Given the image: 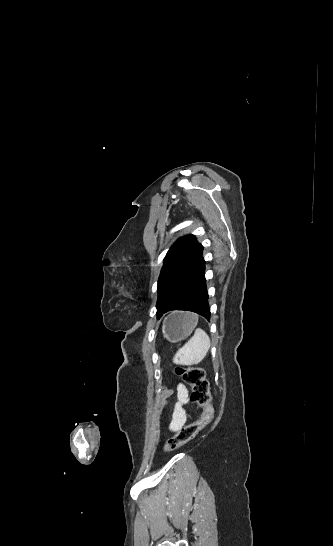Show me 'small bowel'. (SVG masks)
Listing matches in <instances>:
<instances>
[{"label":"small bowel","instance_id":"small-bowel-1","mask_svg":"<svg viewBox=\"0 0 333 546\" xmlns=\"http://www.w3.org/2000/svg\"><path fill=\"white\" fill-rule=\"evenodd\" d=\"M177 397L178 402L175 405L169 426V429L172 432H176L181 429L190 418V414L184 408V404L188 402V390L183 384H180L177 387Z\"/></svg>","mask_w":333,"mask_h":546}]
</instances>
